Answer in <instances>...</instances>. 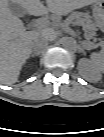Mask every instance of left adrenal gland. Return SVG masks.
Returning a JSON list of instances; mask_svg holds the SVG:
<instances>
[{
    "label": "left adrenal gland",
    "mask_w": 104,
    "mask_h": 137,
    "mask_svg": "<svg viewBox=\"0 0 104 137\" xmlns=\"http://www.w3.org/2000/svg\"><path fill=\"white\" fill-rule=\"evenodd\" d=\"M79 52H81V53H84V54H85V51H84V49H83L82 47H80V48H79Z\"/></svg>",
    "instance_id": "obj_1"
}]
</instances>
